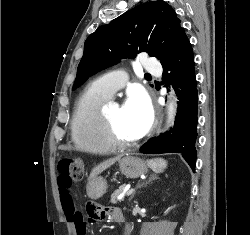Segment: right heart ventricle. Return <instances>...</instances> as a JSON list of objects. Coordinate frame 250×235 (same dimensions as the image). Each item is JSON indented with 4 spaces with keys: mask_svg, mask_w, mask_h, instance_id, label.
<instances>
[{
    "mask_svg": "<svg viewBox=\"0 0 250 235\" xmlns=\"http://www.w3.org/2000/svg\"><path fill=\"white\" fill-rule=\"evenodd\" d=\"M110 96L91 85L78 99L71 121V136L76 148L88 154H106L114 148L109 143L102 116Z\"/></svg>",
    "mask_w": 250,
    "mask_h": 235,
    "instance_id": "right-heart-ventricle-1",
    "label": "right heart ventricle"
}]
</instances>
